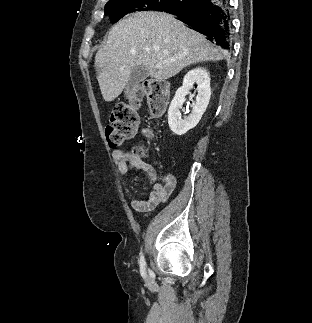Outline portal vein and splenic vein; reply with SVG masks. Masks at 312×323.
Segmentation results:
<instances>
[{
	"instance_id": "obj_1",
	"label": "portal vein and splenic vein",
	"mask_w": 312,
	"mask_h": 323,
	"mask_svg": "<svg viewBox=\"0 0 312 323\" xmlns=\"http://www.w3.org/2000/svg\"><path fill=\"white\" fill-rule=\"evenodd\" d=\"M170 62H175V60H170ZM170 62H164V64H170ZM164 64H157L156 68H162Z\"/></svg>"
}]
</instances>
